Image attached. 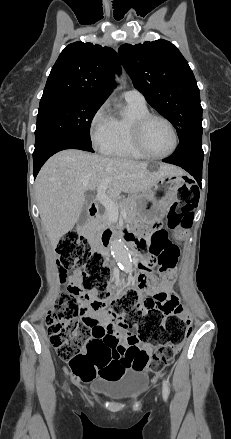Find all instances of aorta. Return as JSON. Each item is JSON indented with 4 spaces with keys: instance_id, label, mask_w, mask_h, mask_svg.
<instances>
[{
    "instance_id": "aorta-1",
    "label": "aorta",
    "mask_w": 231,
    "mask_h": 439,
    "mask_svg": "<svg viewBox=\"0 0 231 439\" xmlns=\"http://www.w3.org/2000/svg\"><path fill=\"white\" fill-rule=\"evenodd\" d=\"M111 251L119 266L124 271L130 272L132 270V259L128 249L121 239H113L111 242Z\"/></svg>"
}]
</instances>
